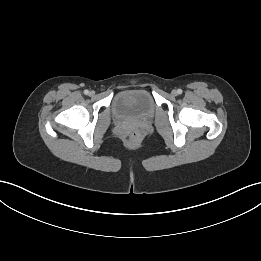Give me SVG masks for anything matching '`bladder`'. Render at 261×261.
<instances>
[{
  "instance_id": "bladder-1",
  "label": "bladder",
  "mask_w": 261,
  "mask_h": 261,
  "mask_svg": "<svg viewBox=\"0 0 261 261\" xmlns=\"http://www.w3.org/2000/svg\"><path fill=\"white\" fill-rule=\"evenodd\" d=\"M112 112L122 121H147L155 112L152 95L145 89L120 91L113 99Z\"/></svg>"
}]
</instances>
